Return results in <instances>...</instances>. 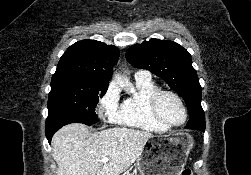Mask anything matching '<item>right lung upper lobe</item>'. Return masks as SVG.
I'll return each instance as SVG.
<instances>
[{
	"label": "right lung upper lobe",
	"instance_id": "right-lung-upper-lobe-1",
	"mask_svg": "<svg viewBox=\"0 0 251 175\" xmlns=\"http://www.w3.org/2000/svg\"><path fill=\"white\" fill-rule=\"evenodd\" d=\"M119 50L96 40H82L70 46L60 58L53 80L91 86H107Z\"/></svg>",
	"mask_w": 251,
	"mask_h": 175
}]
</instances>
